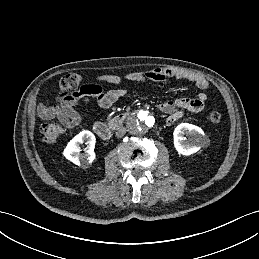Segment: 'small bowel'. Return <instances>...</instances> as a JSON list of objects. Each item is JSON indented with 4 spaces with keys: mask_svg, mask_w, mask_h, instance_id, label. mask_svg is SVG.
Wrapping results in <instances>:
<instances>
[{
    "mask_svg": "<svg viewBox=\"0 0 259 259\" xmlns=\"http://www.w3.org/2000/svg\"><path fill=\"white\" fill-rule=\"evenodd\" d=\"M169 78L190 81L201 90L195 97L166 100L158 104L160 111L168 114L166 123L170 126L178 121L185 112L198 113L203 111L207 101L205 90L209 87V81L202 74L182 68H157L146 72H130L124 77L113 74L98 75L96 81L119 85L123 80L136 83L147 80L165 82ZM125 94L126 90L123 88L104 91L97 84L83 85L71 95L65 97L58 96L52 106L40 105L38 107V115L41 119H58L62 124L73 127L80 122V115L77 111L78 106L94 102L99 107L108 109Z\"/></svg>",
    "mask_w": 259,
    "mask_h": 259,
    "instance_id": "1",
    "label": "small bowel"
}]
</instances>
